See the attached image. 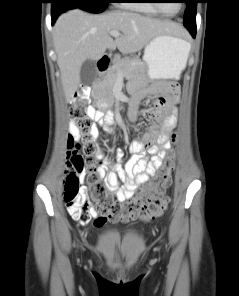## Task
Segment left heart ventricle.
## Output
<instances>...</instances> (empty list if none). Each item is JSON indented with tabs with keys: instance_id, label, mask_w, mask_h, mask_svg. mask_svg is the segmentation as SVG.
Masks as SVG:
<instances>
[{
	"instance_id": "1",
	"label": "left heart ventricle",
	"mask_w": 239,
	"mask_h": 296,
	"mask_svg": "<svg viewBox=\"0 0 239 296\" xmlns=\"http://www.w3.org/2000/svg\"><path fill=\"white\" fill-rule=\"evenodd\" d=\"M160 5L164 9V11L169 14L176 12L178 9V3H174L167 0L161 1Z\"/></svg>"
}]
</instances>
